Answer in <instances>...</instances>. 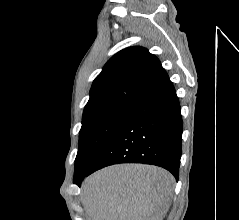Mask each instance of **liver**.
<instances>
[{"label":"liver","instance_id":"obj_1","mask_svg":"<svg viewBox=\"0 0 239 220\" xmlns=\"http://www.w3.org/2000/svg\"><path fill=\"white\" fill-rule=\"evenodd\" d=\"M174 183L162 168L118 164L87 177L81 200L90 220H163Z\"/></svg>","mask_w":239,"mask_h":220}]
</instances>
